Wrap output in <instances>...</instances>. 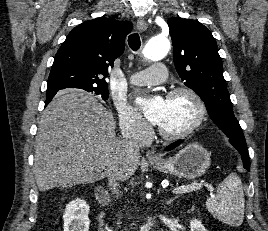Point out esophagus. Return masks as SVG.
<instances>
[{
  "label": "esophagus",
  "mask_w": 268,
  "mask_h": 231,
  "mask_svg": "<svg viewBox=\"0 0 268 231\" xmlns=\"http://www.w3.org/2000/svg\"><path fill=\"white\" fill-rule=\"evenodd\" d=\"M137 28L141 32L147 29V23L143 17L138 18ZM146 157L148 160H151V161H158L161 159L160 156L154 150H148L146 152Z\"/></svg>",
  "instance_id": "esophagus-1"
}]
</instances>
